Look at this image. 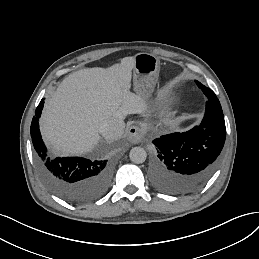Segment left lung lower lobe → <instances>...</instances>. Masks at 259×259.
Segmentation results:
<instances>
[{
    "label": "left lung lower lobe",
    "instance_id": "left-lung-lower-lobe-1",
    "mask_svg": "<svg viewBox=\"0 0 259 259\" xmlns=\"http://www.w3.org/2000/svg\"><path fill=\"white\" fill-rule=\"evenodd\" d=\"M207 97L205 116L199 126L183 133L156 138L150 175L153 185L170 194L190 193L202 186L218 167L226 127L215 93L197 82Z\"/></svg>",
    "mask_w": 259,
    "mask_h": 259
}]
</instances>
